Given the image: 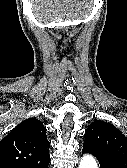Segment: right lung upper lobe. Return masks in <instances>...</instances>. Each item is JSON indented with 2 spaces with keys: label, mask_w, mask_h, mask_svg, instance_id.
<instances>
[{
  "label": "right lung upper lobe",
  "mask_w": 127,
  "mask_h": 168,
  "mask_svg": "<svg viewBox=\"0 0 127 168\" xmlns=\"http://www.w3.org/2000/svg\"><path fill=\"white\" fill-rule=\"evenodd\" d=\"M46 128L36 118L18 124L0 141V168L13 164L42 165L49 159Z\"/></svg>",
  "instance_id": "cb5924a9"
}]
</instances>
